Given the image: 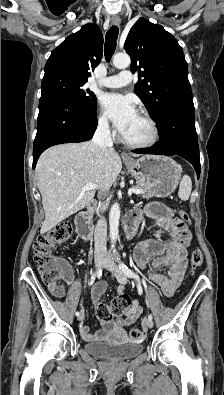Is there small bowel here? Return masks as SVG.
Here are the masks:
<instances>
[{
  "label": "small bowel",
  "instance_id": "c3829d8e",
  "mask_svg": "<svg viewBox=\"0 0 224 395\" xmlns=\"http://www.w3.org/2000/svg\"><path fill=\"white\" fill-rule=\"evenodd\" d=\"M141 213L142 217H150L156 220L158 225L173 234V240L162 242L155 239H147L135 248L134 258L137 265L145 269L151 264L155 272L149 273V279L157 284L162 293L169 297L182 281L187 262V247L190 243V233L180 220L174 218L172 211L159 204L151 203ZM166 271V274L163 271ZM65 283L71 285L74 281L72 270L68 267V275L64 279ZM49 291L56 297H62L65 287L61 283H47ZM105 290V283H98L93 292L92 299L96 305ZM125 287L119 286L117 291L123 294ZM142 308L137 299H133L124 315L115 320L103 321V329L95 335L90 332L86 325L80 327L81 334L86 340H93L98 337H106L109 332L118 331L125 326L132 324L141 314Z\"/></svg>",
  "mask_w": 224,
  "mask_h": 395
}]
</instances>
